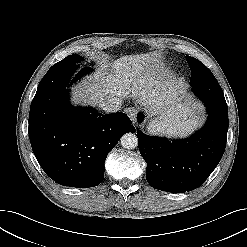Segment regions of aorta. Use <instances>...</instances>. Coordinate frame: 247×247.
Segmentation results:
<instances>
[{"label": "aorta", "mask_w": 247, "mask_h": 247, "mask_svg": "<svg viewBox=\"0 0 247 247\" xmlns=\"http://www.w3.org/2000/svg\"><path fill=\"white\" fill-rule=\"evenodd\" d=\"M120 143L125 149H135L138 146V138L134 133H126L121 137Z\"/></svg>", "instance_id": "obj_1"}]
</instances>
